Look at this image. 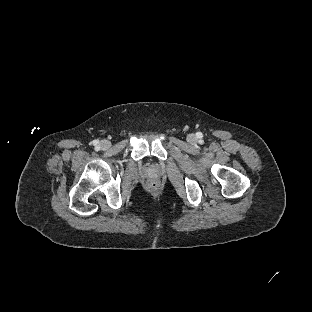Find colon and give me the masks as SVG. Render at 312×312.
<instances>
[{"label":"colon","instance_id":"colon-1","mask_svg":"<svg viewBox=\"0 0 312 312\" xmlns=\"http://www.w3.org/2000/svg\"><path fill=\"white\" fill-rule=\"evenodd\" d=\"M150 187H151V189L156 190V189H158L159 184H158V182L153 181V182H151Z\"/></svg>","mask_w":312,"mask_h":312}]
</instances>
